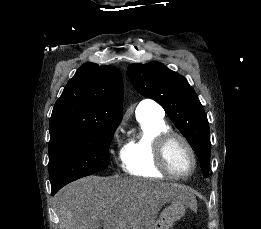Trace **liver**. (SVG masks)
<instances>
[{"label":"liver","mask_w":261,"mask_h":229,"mask_svg":"<svg viewBox=\"0 0 261 229\" xmlns=\"http://www.w3.org/2000/svg\"><path fill=\"white\" fill-rule=\"evenodd\" d=\"M187 187L144 179L84 177L61 189L60 229H151L163 203L194 201Z\"/></svg>","instance_id":"6515ba94"}]
</instances>
